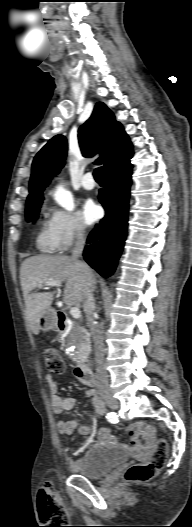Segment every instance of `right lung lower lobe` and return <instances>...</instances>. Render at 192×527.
<instances>
[{"mask_svg":"<svg viewBox=\"0 0 192 527\" xmlns=\"http://www.w3.org/2000/svg\"><path fill=\"white\" fill-rule=\"evenodd\" d=\"M133 151L105 171L104 190L99 201L105 209V217L90 233L84 249V259L103 277L115 271L127 235V213L131 184Z\"/></svg>","mask_w":192,"mask_h":527,"instance_id":"right-lung-lower-lobe-1","label":"right lung lower lobe"}]
</instances>
